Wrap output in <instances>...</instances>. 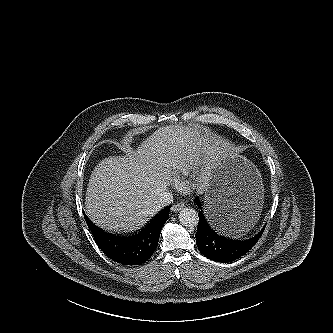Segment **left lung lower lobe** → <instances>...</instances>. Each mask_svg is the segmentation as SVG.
<instances>
[{"label":"left lung lower lobe","instance_id":"obj_1","mask_svg":"<svg viewBox=\"0 0 333 333\" xmlns=\"http://www.w3.org/2000/svg\"><path fill=\"white\" fill-rule=\"evenodd\" d=\"M194 202L201 208L198 197L195 198ZM264 229L248 240L225 238L212 230L201 208L195 235L196 244L205 257L221 263L231 262L245 255L258 242Z\"/></svg>","mask_w":333,"mask_h":333}]
</instances>
